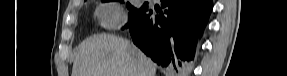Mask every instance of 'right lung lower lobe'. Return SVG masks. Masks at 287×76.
Instances as JSON below:
<instances>
[{
	"instance_id": "obj_1",
	"label": "right lung lower lobe",
	"mask_w": 287,
	"mask_h": 76,
	"mask_svg": "<svg viewBox=\"0 0 287 76\" xmlns=\"http://www.w3.org/2000/svg\"><path fill=\"white\" fill-rule=\"evenodd\" d=\"M162 1V0H161ZM161 14L148 10L130 25V34L147 56L162 67L193 60L199 32L207 24L212 0H164Z\"/></svg>"
}]
</instances>
